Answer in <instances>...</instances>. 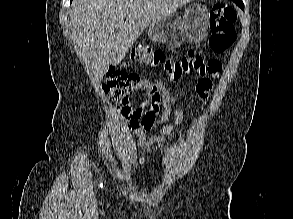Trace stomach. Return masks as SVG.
I'll use <instances>...</instances> for the list:
<instances>
[{
	"label": "stomach",
	"instance_id": "obj_1",
	"mask_svg": "<svg viewBox=\"0 0 293 219\" xmlns=\"http://www.w3.org/2000/svg\"><path fill=\"white\" fill-rule=\"evenodd\" d=\"M210 18L207 8L200 3L185 8L183 19L171 14L148 28L151 40L165 44L172 49L179 48L187 39L191 43H201L208 35Z\"/></svg>",
	"mask_w": 293,
	"mask_h": 219
}]
</instances>
